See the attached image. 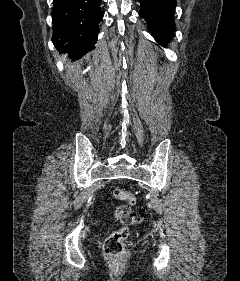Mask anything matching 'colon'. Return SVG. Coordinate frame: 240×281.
I'll return each instance as SVG.
<instances>
[{
  "label": "colon",
  "instance_id": "obj_1",
  "mask_svg": "<svg viewBox=\"0 0 240 281\" xmlns=\"http://www.w3.org/2000/svg\"><path fill=\"white\" fill-rule=\"evenodd\" d=\"M113 195L116 199L123 201L125 204L119 206L115 211V217L122 222V226L113 231L105 240L103 251L107 257H117L123 253L124 245L129 237V226L136 225L143 220L145 210L138 208L133 210L136 204V196L124 189L114 188Z\"/></svg>",
  "mask_w": 240,
  "mask_h": 281
}]
</instances>
